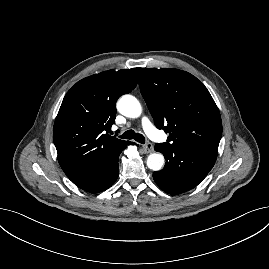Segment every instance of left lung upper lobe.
<instances>
[{
    "mask_svg": "<svg viewBox=\"0 0 269 269\" xmlns=\"http://www.w3.org/2000/svg\"><path fill=\"white\" fill-rule=\"evenodd\" d=\"M139 87L156 127L169 133L163 144L218 151L220 113L196 77L177 69L142 68Z\"/></svg>",
    "mask_w": 269,
    "mask_h": 269,
    "instance_id": "1",
    "label": "left lung upper lobe"
}]
</instances>
